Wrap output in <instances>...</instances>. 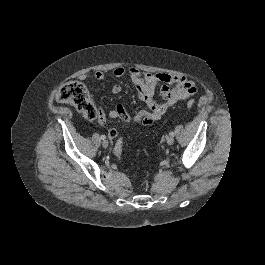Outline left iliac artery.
Segmentation results:
<instances>
[{"instance_id":"obj_1","label":"left iliac artery","mask_w":265,"mask_h":265,"mask_svg":"<svg viewBox=\"0 0 265 265\" xmlns=\"http://www.w3.org/2000/svg\"><path fill=\"white\" fill-rule=\"evenodd\" d=\"M169 135L173 137L174 136V132H170Z\"/></svg>"}]
</instances>
